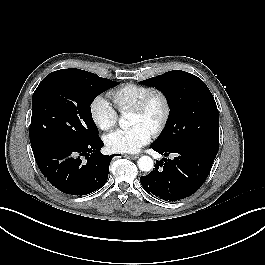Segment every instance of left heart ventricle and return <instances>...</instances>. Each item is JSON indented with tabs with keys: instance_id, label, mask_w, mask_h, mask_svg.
Returning a JSON list of instances; mask_svg holds the SVG:
<instances>
[{
	"instance_id": "obj_1",
	"label": "left heart ventricle",
	"mask_w": 265,
	"mask_h": 265,
	"mask_svg": "<svg viewBox=\"0 0 265 265\" xmlns=\"http://www.w3.org/2000/svg\"><path fill=\"white\" fill-rule=\"evenodd\" d=\"M161 113H162V104L158 99H155L153 100V102L151 103L145 114H138L132 112L130 124L131 126L140 124L145 126L151 131L154 124L160 117Z\"/></svg>"
}]
</instances>
